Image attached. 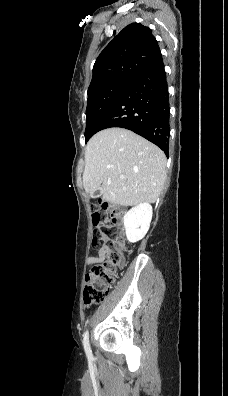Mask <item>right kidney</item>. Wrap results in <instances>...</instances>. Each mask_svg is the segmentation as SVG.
<instances>
[{"mask_svg": "<svg viewBox=\"0 0 228 396\" xmlns=\"http://www.w3.org/2000/svg\"><path fill=\"white\" fill-rule=\"evenodd\" d=\"M152 213V206L149 203H140L124 215L125 233L129 242H137L146 235L150 227Z\"/></svg>", "mask_w": 228, "mask_h": 396, "instance_id": "right-kidney-1", "label": "right kidney"}]
</instances>
